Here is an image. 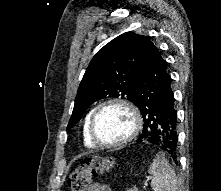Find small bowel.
I'll return each instance as SVG.
<instances>
[{"label":"small bowel","mask_w":221,"mask_h":191,"mask_svg":"<svg viewBox=\"0 0 221 191\" xmlns=\"http://www.w3.org/2000/svg\"><path fill=\"white\" fill-rule=\"evenodd\" d=\"M89 191H103V185L99 182H94L91 184Z\"/></svg>","instance_id":"obj_1"}]
</instances>
